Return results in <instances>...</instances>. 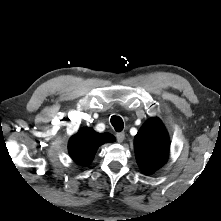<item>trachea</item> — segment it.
Masks as SVG:
<instances>
[{"label": "trachea", "instance_id": "1", "mask_svg": "<svg viewBox=\"0 0 221 221\" xmlns=\"http://www.w3.org/2000/svg\"><path fill=\"white\" fill-rule=\"evenodd\" d=\"M111 124L113 125L114 129L117 132H121L124 128L123 120L119 116H112L111 117Z\"/></svg>", "mask_w": 221, "mask_h": 221}]
</instances>
